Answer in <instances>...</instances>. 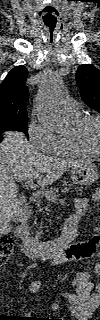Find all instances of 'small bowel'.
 I'll list each match as a JSON object with an SVG mask.
<instances>
[{"mask_svg":"<svg viewBox=\"0 0 100 320\" xmlns=\"http://www.w3.org/2000/svg\"><path fill=\"white\" fill-rule=\"evenodd\" d=\"M99 199V195L95 194L91 198L82 197L75 200V207L79 217L88 213L89 206L93 201ZM73 247V252L82 253L85 251L83 244ZM95 271L100 274V264L95 266ZM71 285L75 289L74 294L63 293L52 304L54 310L58 309L60 305L66 307L72 316L77 320H88L92 313L98 308L100 304V292L92 280L91 274L88 271H83L77 275ZM40 287L39 281L32 282L28 289L31 292H36Z\"/></svg>","mask_w":100,"mask_h":320,"instance_id":"small-bowel-1","label":"small bowel"}]
</instances>
